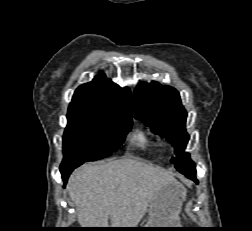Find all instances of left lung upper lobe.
Returning <instances> with one entry per match:
<instances>
[{"label":"left lung upper lobe","instance_id":"obj_1","mask_svg":"<svg viewBox=\"0 0 252 231\" xmlns=\"http://www.w3.org/2000/svg\"><path fill=\"white\" fill-rule=\"evenodd\" d=\"M132 107L136 119L176 146V157L171 162L180 173L196 170L190 154L184 152L189 140L185 129L187 112L176 89L155 81L139 84L132 98Z\"/></svg>","mask_w":252,"mask_h":231}]
</instances>
